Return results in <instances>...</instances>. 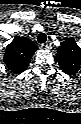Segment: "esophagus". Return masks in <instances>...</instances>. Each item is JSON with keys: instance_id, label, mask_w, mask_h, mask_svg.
<instances>
[{"instance_id": "esophagus-1", "label": "esophagus", "mask_w": 81, "mask_h": 124, "mask_svg": "<svg viewBox=\"0 0 81 124\" xmlns=\"http://www.w3.org/2000/svg\"><path fill=\"white\" fill-rule=\"evenodd\" d=\"M51 45H52L51 41L48 40V41H46L44 44H42L41 46H42L43 48H45V49H49V48H51Z\"/></svg>"}]
</instances>
